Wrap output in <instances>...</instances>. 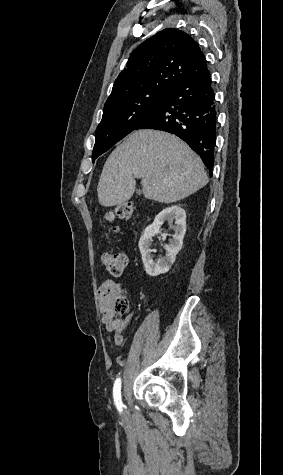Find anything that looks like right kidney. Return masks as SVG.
Masks as SVG:
<instances>
[{
	"instance_id": "1",
	"label": "right kidney",
	"mask_w": 283,
	"mask_h": 475,
	"mask_svg": "<svg viewBox=\"0 0 283 475\" xmlns=\"http://www.w3.org/2000/svg\"><path fill=\"white\" fill-rule=\"evenodd\" d=\"M163 222H174L173 230L175 232L173 239L164 245L166 249L165 257L161 259H153L151 255V241L155 234H159V230ZM186 232V214L180 206H170L162 210L156 216L153 224L147 226L143 232V236L139 239V249L142 255V261L145 265V271L148 275H160V273H167L171 269L175 257L183 245V238ZM167 234H162V239H166Z\"/></svg>"
}]
</instances>
